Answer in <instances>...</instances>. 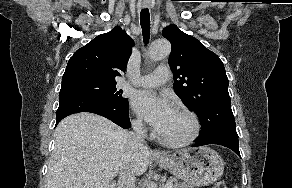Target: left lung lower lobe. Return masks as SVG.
Here are the masks:
<instances>
[{
  "instance_id": "left-lung-lower-lobe-1",
  "label": "left lung lower lobe",
  "mask_w": 292,
  "mask_h": 188,
  "mask_svg": "<svg viewBox=\"0 0 292 188\" xmlns=\"http://www.w3.org/2000/svg\"><path fill=\"white\" fill-rule=\"evenodd\" d=\"M207 144L225 146L240 156L235 121L226 122L206 133L200 134L199 139L196 141L193 147Z\"/></svg>"
}]
</instances>
